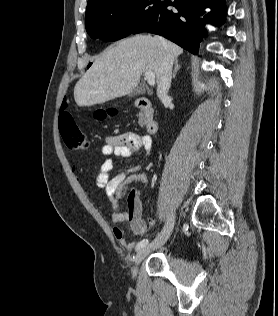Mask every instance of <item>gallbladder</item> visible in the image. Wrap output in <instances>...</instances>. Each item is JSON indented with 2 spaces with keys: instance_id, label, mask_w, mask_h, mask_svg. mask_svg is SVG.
<instances>
[{
  "instance_id": "bac80fb5",
  "label": "gallbladder",
  "mask_w": 278,
  "mask_h": 316,
  "mask_svg": "<svg viewBox=\"0 0 278 316\" xmlns=\"http://www.w3.org/2000/svg\"><path fill=\"white\" fill-rule=\"evenodd\" d=\"M144 93V89L141 87L135 88L131 93L128 94L129 97H134L135 95H139Z\"/></svg>"
}]
</instances>
